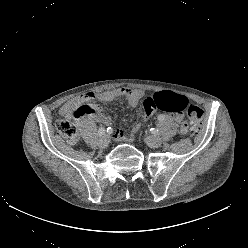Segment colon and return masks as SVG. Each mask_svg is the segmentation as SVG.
<instances>
[{
    "instance_id": "colon-1",
    "label": "colon",
    "mask_w": 248,
    "mask_h": 248,
    "mask_svg": "<svg viewBox=\"0 0 248 248\" xmlns=\"http://www.w3.org/2000/svg\"><path fill=\"white\" fill-rule=\"evenodd\" d=\"M157 111L168 113L186 112L190 121V131L192 135L197 134L203 126L204 112L197 105L189 103L184 96L163 91L149 96L144 101L145 119L151 117ZM89 112V108L84 105L73 112L74 118H80ZM57 133L65 138L70 144H76L78 140L77 129L75 125L66 120H60L55 125Z\"/></svg>"
}]
</instances>
